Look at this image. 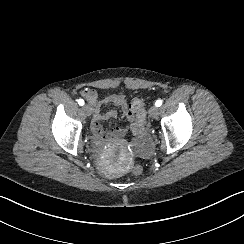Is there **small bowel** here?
Returning a JSON list of instances; mask_svg holds the SVG:
<instances>
[{
	"label": "small bowel",
	"instance_id": "small-bowel-1",
	"mask_svg": "<svg viewBox=\"0 0 244 244\" xmlns=\"http://www.w3.org/2000/svg\"><path fill=\"white\" fill-rule=\"evenodd\" d=\"M81 95L91 104L93 111L92 129L101 140H108L113 137H123L132 128L136 122L134 114L128 108L126 99L121 94H108L101 101L97 99V93L92 89H84L81 91ZM114 104L121 108L122 117L125 119L127 124L125 126H110L104 130L102 128V121L110 120L116 117L117 113L115 110H108L102 112L101 105ZM145 134L142 137V143L138 146V151L144 158H149L152 155V149L147 145L148 141L144 139Z\"/></svg>",
	"mask_w": 244,
	"mask_h": 244
}]
</instances>
